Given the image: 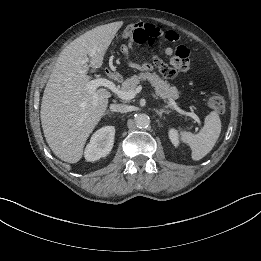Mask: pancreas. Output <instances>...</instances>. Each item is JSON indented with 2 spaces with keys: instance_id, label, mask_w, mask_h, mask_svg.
I'll list each match as a JSON object with an SVG mask.
<instances>
[{
  "instance_id": "1",
  "label": "pancreas",
  "mask_w": 261,
  "mask_h": 261,
  "mask_svg": "<svg viewBox=\"0 0 261 261\" xmlns=\"http://www.w3.org/2000/svg\"><path fill=\"white\" fill-rule=\"evenodd\" d=\"M145 79L149 80V82L153 85L157 95L167 100L168 102L179 97V91L177 88L170 85L166 80L161 79L155 72H145L134 75L122 83L121 89L123 91L136 90L140 81Z\"/></svg>"
}]
</instances>
